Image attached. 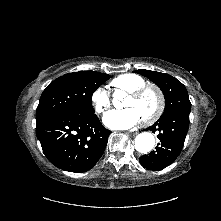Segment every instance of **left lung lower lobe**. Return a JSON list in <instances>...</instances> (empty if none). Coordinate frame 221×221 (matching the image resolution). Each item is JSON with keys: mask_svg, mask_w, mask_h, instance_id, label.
I'll return each mask as SVG.
<instances>
[{"mask_svg": "<svg viewBox=\"0 0 221 221\" xmlns=\"http://www.w3.org/2000/svg\"><path fill=\"white\" fill-rule=\"evenodd\" d=\"M189 128V113L177 112L159 119L146 130L159 131L160 139L155 151L139 158L141 165L159 171L172 164L179 156Z\"/></svg>", "mask_w": 221, "mask_h": 221, "instance_id": "obj_1", "label": "left lung lower lobe"}]
</instances>
